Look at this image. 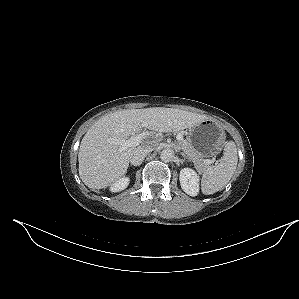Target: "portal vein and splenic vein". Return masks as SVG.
<instances>
[{
	"mask_svg": "<svg viewBox=\"0 0 299 299\" xmlns=\"http://www.w3.org/2000/svg\"><path fill=\"white\" fill-rule=\"evenodd\" d=\"M146 135H147L146 133H140V134L131 136L128 140H120V139L109 138L108 142L110 144L120 146L119 152H122V151L126 150L129 147L138 146L141 143V141L143 140V138L146 137ZM176 139L181 141V140H183V136L178 134L176 136ZM204 162L207 163V164H212L214 161L210 160V159H206Z\"/></svg>",
	"mask_w": 299,
	"mask_h": 299,
	"instance_id": "1",
	"label": "portal vein and splenic vein"
}]
</instances>
